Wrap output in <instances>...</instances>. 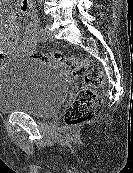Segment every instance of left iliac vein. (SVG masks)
Wrapping results in <instances>:
<instances>
[{"label": "left iliac vein", "mask_w": 133, "mask_h": 173, "mask_svg": "<svg viewBox=\"0 0 133 173\" xmlns=\"http://www.w3.org/2000/svg\"><path fill=\"white\" fill-rule=\"evenodd\" d=\"M43 37L45 41H51L53 40V35L49 30V26L46 25V27L43 29Z\"/></svg>", "instance_id": "4c4485c4"}]
</instances>
